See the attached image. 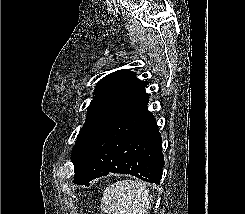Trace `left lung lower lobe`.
Returning a JSON list of instances; mask_svg holds the SVG:
<instances>
[{
  "label": "left lung lower lobe",
  "instance_id": "left-lung-lower-lobe-1",
  "mask_svg": "<svg viewBox=\"0 0 245 214\" xmlns=\"http://www.w3.org/2000/svg\"><path fill=\"white\" fill-rule=\"evenodd\" d=\"M149 97L109 125L79 156L74 164V183L110 173L131 174L159 184L164 157L162 138L154 116L148 111Z\"/></svg>",
  "mask_w": 245,
  "mask_h": 214
}]
</instances>
